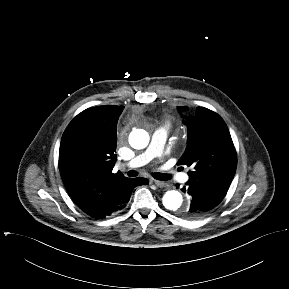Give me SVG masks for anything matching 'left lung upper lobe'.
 Wrapping results in <instances>:
<instances>
[{
	"label": "left lung upper lobe",
	"instance_id": "5c2ea615",
	"mask_svg": "<svg viewBox=\"0 0 289 289\" xmlns=\"http://www.w3.org/2000/svg\"><path fill=\"white\" fill-rule=\"evenodd\" d=\"M187 106H178L180 113ZM188 143L178 165L193 166L189 180L228 189L237 166L236 150L223 119L215 112L198 107L187 121Z\"/></svg>",
	"mask_w": 289,
	"mask_h": 289
}]
</instances>
